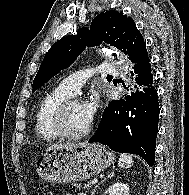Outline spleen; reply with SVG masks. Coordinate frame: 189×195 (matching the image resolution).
Segmentation results:
<instances>
[{"label":"spleen","mask_w":189,"mask_h":195,"mask_svg":"<svg viewBox=\"0 0 189 195\" xmlns=\"http://www.w3.org/2000/svg\"><path fill=\"white\" fill-rule=\"evenodd\" d=\"M133 165V160L130 155L122 154L119 158V166L121 168H129Z\"/></svg>","instance_id":"obj_1"}]
</instances>
